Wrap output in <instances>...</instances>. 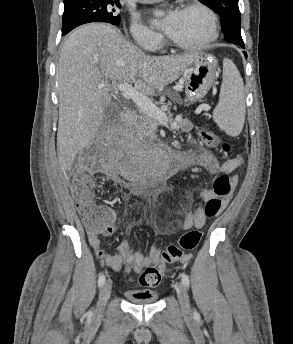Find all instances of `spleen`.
Wrapping results in <instances>:
<instances>
[{
	"label": "spleen",
	"instance_id": "obj_1",
	"mask_svg": "<svg viewBox=\"0 0 293 344\" xmlns=\"http://www.w3.org/2000/svg\"><path fill=\"white\" fill-rule=\"evenodd\" d=\"M213 120L227 135L237 136L245 122L244 84L236 65L223 60V81Z\"/></svg>",
	"mask_w": 293,
	"mask_h": 344
}]
</instances>
